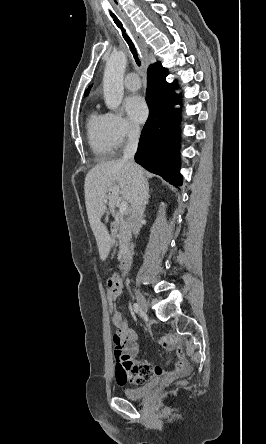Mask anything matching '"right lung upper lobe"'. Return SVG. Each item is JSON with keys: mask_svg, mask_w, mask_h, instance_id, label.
Instances as JSON below:
<instances>
[{"mask_svg": "<svg viewBox=\"0 0 266 444\" xmlns=\"http://www.w3.org/2000/svg\"><path fill=\"white\" fill-rule=\"evenodd\" d=\"M91 87V86H90ZM89 87V88H90ZM89 91H90V89H87L86 91H85V96H87L88 94H89Z\"/></svg>", "mask_w": 266, "mask_h": 444, "instance_id": "right-lung-upper-lobe-1", "label": "right lung upper lobe"}]
</instances>
